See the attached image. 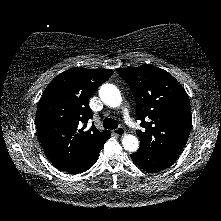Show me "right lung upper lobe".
Masks as SVG:
<instances>
[{
  "label": "right lung upper lobe",
  "mask_w": 221,
  "mask_h": 221,
  "mask_svg": "<svg viewBox=\"0 0 221 221\" xmlns=\"http://www.w3.org/2000/svg\"><path fill=\"white\" fill-rule=\"evenodd\" d=\"M112 70L72 68L59 74L44 91L36 113L38 137L47 157L60 171L84 159L109 131L85 129L93 117L88 101Z\"/></svg>",
  "instance_id": "right-lung-upper-lobe-1"
}]
</instances>
